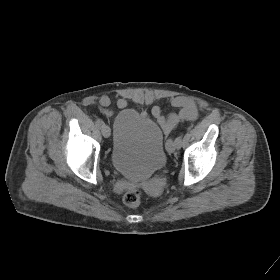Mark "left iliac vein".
<instances>
[{"label": "left iliac vein", "mask_w": 280, "mask_h": 280, "mask_svg": "<svg viewBox=\"0 0 280 280\" xmlns=\"http://www.w3.org/2000/svg\"><path fill=\"white\" fill-rule=\"evenodd\" d=\"M177 147H178L177 143L174 140L172 139L168 140L166 144V149L169 153H173Z\"/></svg>", "instance_id": "left-iliac-vein-1"}]
</instances>
